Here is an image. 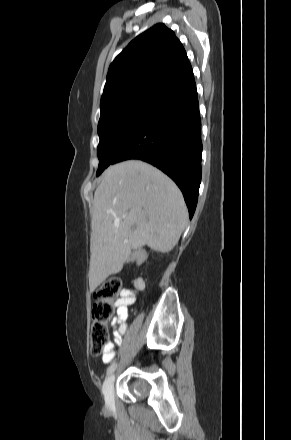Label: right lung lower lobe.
I'll list each match as a JSON object with an SVG mask.
<instances>
[{
  "instance_id": "1",
  "label": "right lung lower lobe",
  "mask_w": 291,
  "mask_h": 440,
  "mask_svg": "<svg viewBox=\"0 0 291 440\" xmlns=\"http://www.w3.org/2000/svg\"><path fill=\"white\" fill-rule=\"evenodd\" d=\"M201 155L198 94L191 73L155 97L111 164L139 159L162 170L181 189L192 218L201 182Z\"/></svg>"
}]
</instances>
